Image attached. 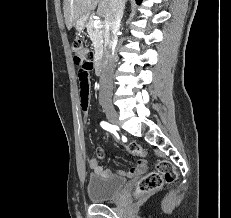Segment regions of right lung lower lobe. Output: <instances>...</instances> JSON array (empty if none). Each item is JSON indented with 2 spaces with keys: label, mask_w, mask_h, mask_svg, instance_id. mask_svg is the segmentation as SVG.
I'll list each match as a JSON object with an SVG mask.
<instances>
[{
  "label": "right lung lower lobe",
  "mask_w": 231,
  "mask_h": 218,
  "mask_svg": "<svg viewBox=\"0 0 231 218\" xmlns=\"http://www.w3.org/2000/svg\"><path fill=\"white\" fill-rule=\"evenodd\" d=\"M136 2H137V3H140V2H141V0H136Z\"/></svg>",
  "instance_id": "right-lung-lower-lobe-1"
}]
</instances>
